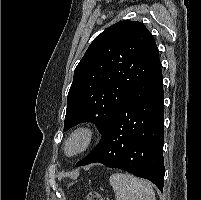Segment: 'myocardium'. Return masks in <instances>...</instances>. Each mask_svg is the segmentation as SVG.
Instances as JSON below:
<instances>
[{
	"label": "myocardium",
	"instance_id": "1",
	"mask_svg": "<svg viewBox=\"0 0 201 200\" xmlns=\"http://www.w3.org/2000/svg\"><path fill=\"white\" fill-rule=\"evenodd\" d=\"M97 132L94 127L90 125H80L74 128L66 137L63 144V152L67 157L73 158L85 153L94 143ZM79 139L80 146L74 150H69V145L72 141Z\"/></svg>",
	"mask_w": 201,
	"mask_h": 200
}]
</instances>
